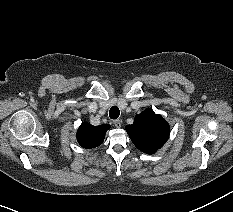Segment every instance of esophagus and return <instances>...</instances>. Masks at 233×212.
I'll list each match as a JSON object with an SVG mask.
<instances>
[{
  "label": "esophagus",
  "instance_id": "obj_1",
  "mask_svg": "<svg viewBox=\"0 0 233 212\" xmlns=\"http://www.w3.org/2000/svg\"><path fill=\"white\" fill-rule=\"evenodd\" d=\"M113 124H114L115 127L120 128L121 124H122V120L116 119V120L113 121Z\"/></svg>",
  "mask_w": 233,
  "mask_h": 212
}]
</instances>
